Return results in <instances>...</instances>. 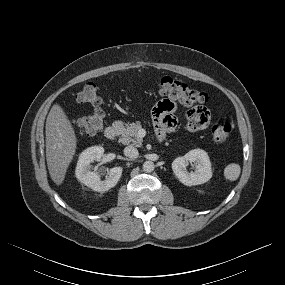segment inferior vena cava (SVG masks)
Returning a JSON list of instances; mask_svg holds the SVG:
<instances>
[{
    "instance_id": "1",
    "label": "inferior vena cava",
    "mask_w": 285,
    "mask_h": 285,
    "mask_svg": "<svg viewBox=\"0 0 285 285\" xmlns=\"http://www.w3.org/2000/svg\"><path fill=\"white\" fill-rule=\"evenodd\" d=\"M125 156L129 157L130 159H135L139 156L138 150L133 146H127L124 148Z\"/></svg>"
}]
</instances>
